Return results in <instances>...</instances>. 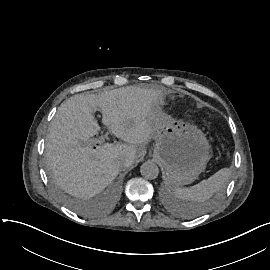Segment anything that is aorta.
Segmentation results:
<instances>
[{"label": "aorta", "instance_id": "aorta-1", "mask_svg": "<svg viewBox=\"0 0 270 270\" xmlns=\"http://www.w3.org/2000/svg\"><path fill=\"white\" fill-rule=\"evenodd\" d=\"M141 174L145 179H156L159 175L158 166L152 162L147 161L141 166Z\"/></svg>", "mask_w": 270, "mask_h": 270}]
</instances>
